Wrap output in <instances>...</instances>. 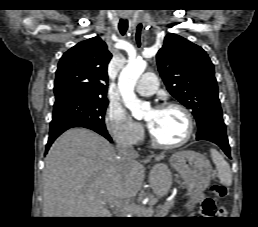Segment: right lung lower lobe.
I'll use <instances>...</instances> for the list:
<instances>
[{"mask_svg": "<svg viewBox=\"0 0 258 227\" xmlns=\"http://www.w3.org/2000/svg\"><path fill=\"white\" fill-rule=\"evenodd\" d=\"M73 127H83V126L78 123H75L73 121H68V120H61V119L52 120L50 123V132H49L48 143L46 145V152L48 151V149L50 148V146L54 142V140L60 134H62L64 131H66L70 128H73ZM94 131L101 134L106 139H108L110 142H112V139L106 130L105 131L94 130Z\"/></svg>", "mask_w": 258, "mask_h": 227, "instance_id": "obj_1", "label": "right lung lower lobe"}]
</instances>
